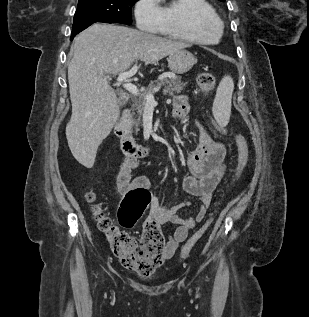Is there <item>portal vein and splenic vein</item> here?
<instances>
[{"mask_svg": "<svg viewBox=\"0 0 309 317\" xmlns=\"http://www.w3.org/2000/svg\"><path fill=\"white\" fill-rule=\"evenodd\" d=\"M137 69H138L137 65H134L129 71L120 73L118 75V78H117L118 82H124L125 81V83H123V87L127 91H129L131 94H133L135 96L139 95V90H138L136 85L128 82L127 79L132 77L137 72ZM107 77L109 78V76H107ZM160 88H161V86H157L154 89V92L159 91ZM145 100H146V105L147 106H154L156 104L153 94H147L145 96Z\"/></svg>", "mask_w": 309, "mask_h": 317, "instance_id": "portal-vein-and-splenic-vein-1", "label": "portal vein and splenic vein"}]
</instances>
